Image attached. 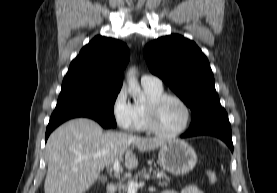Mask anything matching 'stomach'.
Here are the masks:
<instances>
[{"label":"stomach","instance_id":"1","mask_svg":"<svg viewBox=\"0 0 277 193\" xmlns=\"http://www.w3.org/2000/svg\"><path fill=\"white\" fill-rule=\"evenodd\" d=\"M159 163L162 168L173 175H185L195 167L197 155L195 150L185 141L171 139L159 150Z\"/></svg>","mask_w":277,"mask_h":193}]
</instances>
